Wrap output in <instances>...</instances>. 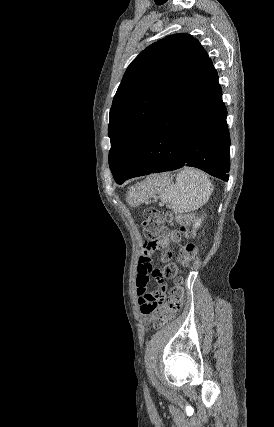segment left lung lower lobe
I'll use <instances>...</instances> for the list:
<instances>
[{"instance_id": "1", "label": "left lung lower lobe", "mask_w": 274, "mask_h": 427, "mask_svg": "<svg viewBox=\"0 0 274 427\" xmlns=\"http://www.w3.org/2000/svg\"><path fill=\"white\" fill-rule=\"evenodd\" d=\"M226 116L217 72L208 58L153 125L129 171L114 177L116 183L183 166L228 181Z\"/></svg>"}]
</instances>
